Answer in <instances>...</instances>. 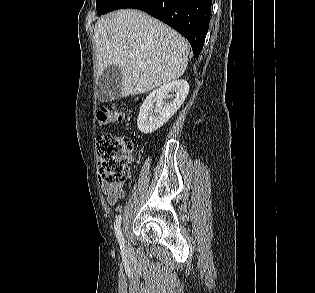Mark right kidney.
Listing matches in <instances>:
<instances>
[{"mask_svg":"<svg viewBox=\"0 0 315 293\" xmlns=\"http://www.w3.org/2000/svg\"><path fill=\"white\" fill-rule=\"evenodd\" d=\"M188 92L186 80L172 81L151 92L140 108L138 129L149 134L162 127L181 107Z\"/></svg>","mask_w":315,"mask_h":293,"instance_id":"ca27d5eb","label":"right kidney"}]
</instances>
